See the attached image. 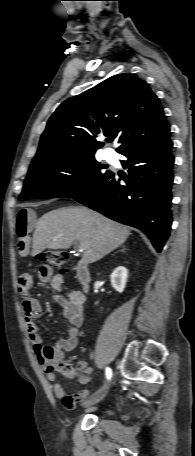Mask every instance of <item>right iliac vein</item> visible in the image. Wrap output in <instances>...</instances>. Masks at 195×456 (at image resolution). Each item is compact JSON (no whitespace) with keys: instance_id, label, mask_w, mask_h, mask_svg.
Instances as JSON below:
<instances>
[{"instance_id":"obj_1","label":"right iliac vein","mask_w":195,"mask_h":456,"mask_svg":"<svg viewBox=\"0 0 195 456\" xmlns=\"http://www.w3.org/2000/svg\"><path fill=\"white\" fill-rule=\"evenodd\" d=\"M109 385H110V383L104 385L101 390H99L97 393H95L93 396H91L89 399H87L83 403V406L89 407V406L99 403L105 397V395L108 391Z\"/></svg>"}]
</instances>
